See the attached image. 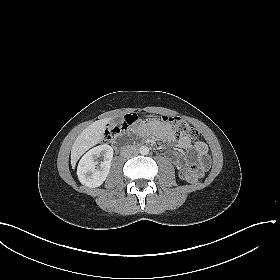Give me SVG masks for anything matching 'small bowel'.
<instances>
[{"mask_svg":"<svg viewBox=\"0 0 280 280\" xmlns=\"http://www.w3.org/2000/svg\"><path fill=\"white\" fill-rule=\"evenodd\" d=\"M152 127H154L158 134L161 135L164 138L167 139H174V135L171 132V130L168 127L161 126L158 123H152ZM178 146L181 149L187 150L190 148H193L198 156L200 165L207 169L210 164V158L208 156V147L207 145L202 141H194L188 137H180L177 140ZM189 162V157L187 155H184L183 157H180L176 160L175 165L178 169H182L187 165Z\"/></svg>","mask_w":280,"mask_h":280,"instance_id":"c3829d8e","label":"small bowel"}]
</instances>
